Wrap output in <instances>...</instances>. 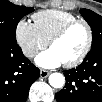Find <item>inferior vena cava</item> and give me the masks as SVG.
<instances>
[{"label": "inferior vena cava", "mask_w": 102, "mask_h": 102, "mask_svg": "<svg viewBox=\"0 0 102 102\" xmlns=\"http://www.w3.org/2000/svg\"><path fill=\"white\" fill-rule=\"evenodd\" d=\"M23 53L26 57L32 58L37 53V51L33 48H25Z\"/></svg>", "instance_id": "inferior-vena-cava-1"}]
</instances>
